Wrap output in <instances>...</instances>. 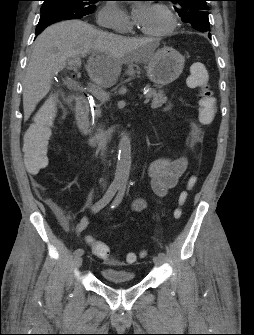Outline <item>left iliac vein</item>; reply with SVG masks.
Returning <instances> with one entry per match:
<instances>
[{
  "instance_id": "left-iliac-vein-1",
  "label": "left iliac vein",
  "mask_w": 254,
  "mask_h": 335,
  "mask_svg": "<svg viewBox=\"0 0 254 335\" xmlns=\"http://www.w3.org/2000/svg\"><path fill=\"white\" fill-rule=\"evenodd\" d=\"M153 262L155 265L160 266L163 263V259L160 258L159 256H154L153 257Z\"/></svg>"
}]
</instances>
